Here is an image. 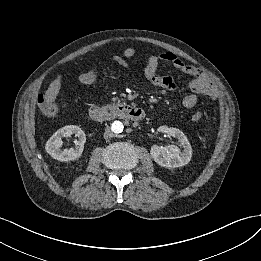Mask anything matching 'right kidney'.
I'll return each instance as SVG.
<instances>
[{
	"label": "right kidney",
	"instance_id": "ca27d5eb",
	"mask_svg": "<svg viewBox=\"0 0 261 261\" xmlns=\"http://www.w3.org/2000/svg\"><path fill=\"white\" fill-rule=\"evenodd\" d=\"M78 137L75 141V147L70 149H61L63 145L62 137H69L71 135ZM86 141L84 131L76 125L64 126L57 130L46 142L45 149L47 153L54 159L68 162L79 158L84 149Z\"/></svg>",
	"mask_w": 261,
	"mask_h": 261
}]
</instances>
